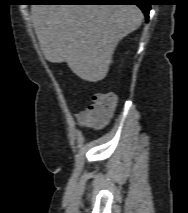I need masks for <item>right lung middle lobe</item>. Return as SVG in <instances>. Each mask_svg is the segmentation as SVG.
Listing matches in <instances>:
<instances>
[{"mask_svg":"<svg viewBox=\"0 0 188 213\" xmlns=\"http://www.w3.org/2000/svg\"><path fill=\"white\" fill-rule=\"evenodd\" d=\"M37 3H39V2H43V1H45V0H35Z\"/></svg>","mask_w":188,"mask_h":213,"instance_id":"1","label":"right lung middle lobe"}]
</instances>
